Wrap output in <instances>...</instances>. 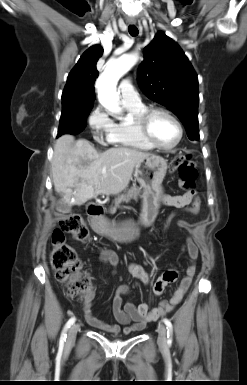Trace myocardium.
I'll return each mask as SVG.
<instances>
[{
    "label": "myocardium",
    "mask_w": 247,
    "mask_h": 385,
    "mask_svg": "<svg viewBox=\"0 0 247 385\" xmlns=\"http://www.w3.org/2000/svg\"><path fill=\"white\" fill-rule=\"evenodd\" d=\"M156 114H163L167 117H169L176 125L178 129V138L177 140L169 146H163L159 143H157L154 138L152 137L151 131H150V123L152 118ZM137 128L139 132L141 133L142 137L153 147L160 150H172L175 147H177L180 142L182 141L183 135H184V129L180 122V120L170 111L164 109V108H147L136 120Z\"/></svg>",
    "instance_id": "myocardium-1"
}]
</instances>
